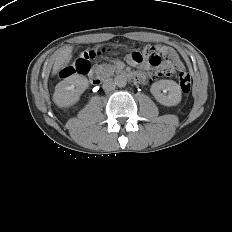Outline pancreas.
<instances>
[{
  "label": "pancreas",
  "mask_w": 232,
  "mask_h": 232,
  "mask_svg": "<svg viewBox=\"0 0 232 232\" xmlns=\"http://www.w3.org/2000/svg\"><path fill=\"white\" fill-rule=\"evenodd\" d=\"M98 73L102 76V77H108V76H112L114 74V72H117V68L115 65H110V64H102V65H98L96 67Z\"/></svg>",
  "instance_id": "obj_1"
}]
</instances>
